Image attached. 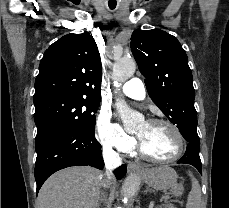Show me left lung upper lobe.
<instances>
[{"label": "left lung upper lobe", "instance_id": "obj_1", "mask_svg": "<svg viewBox=\"0 0 229 208\" xmlns=\"http://www.w3.org/2000/svg\"><path fill=\"white\" fill-rule=\"evenodd\" d=\"M130 45L153 102L180 133L196 130L193 77L179 41L159 29H137Z\"/></svg>", "mask_w": 229, "mask_h": 208}]
</instances>
